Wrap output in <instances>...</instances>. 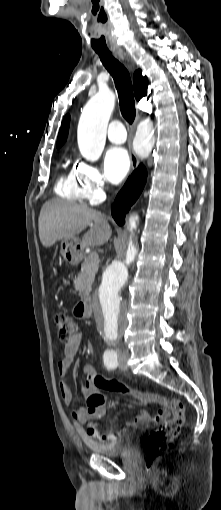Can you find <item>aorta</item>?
I'll list each match as a JSON object with an SVG mask.
<instances>
[{
  "instance_id": "aorta-1",
  "label": "aorta",
  "mask_w": 221,
  "mask_h": 510,
  "mask_svg": "<svg viewBox=\"0 0 221 510\" xmlns=\"http://www.w3.org/2000/svg\"><path fill=\"white\" fill-rule=\"evenodd\" d=\"M115 105V95L109 89H101L83 108L77 131L80 153L89 161L101 156L106 140L107 125ZM153 123L147 119L138 125L134 139V149L141 157L151 152L154 140ZM137 215H131L128 230L136 229ZM137 249L128 243L124 260L113 261L103 272L101 282L93 297L94 314L104 338L111 344L117 342L127 323V312L121 291L128 279L127 266L136 256Z\"/></svg>"
}]
</instances>
